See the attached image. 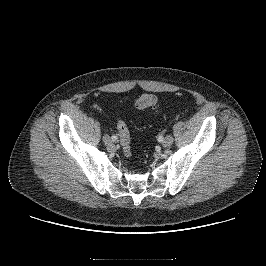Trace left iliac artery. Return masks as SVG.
<instances>
[{
    "label": "left iliac artery",
    "instance_id": "1",
    "mask_svg": "<svg viewBox=\"0 0 266 266\" xmlns=\"http://www.w3.org/2000/svg\"><path fill=\"white\" fill-rule=\"evenodd\" d=\"M156 142L158 144H161L163 142V139H162V136L161 135L156 139Z\"/></svg>",
    "mask_w": 266,
    "mask_h": 266
}]
</instances>
